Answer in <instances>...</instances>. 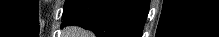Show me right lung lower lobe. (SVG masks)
Masks as SVG:
<instances>
[{"mask_svg":"<svg viewBox=\"0 0 219 37\" xmlns=\"http://www.w3.org/2000/svg\"><path fill=\"white\" fill-rule=\"evenodd\" d=\"M149 0H76L64 9L63 25H78L97 37H140Z\"/></svg>","mask_w":219,"mask_h":37,"instance_id":"obj_1","label":"right lung lower lobe"}]
</instances>
